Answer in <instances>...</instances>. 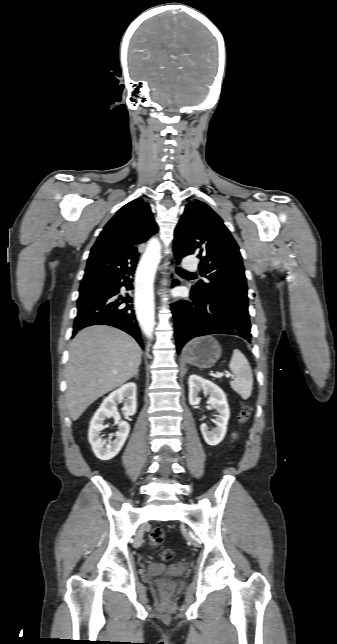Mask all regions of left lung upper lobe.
Listing matches in <instances>:
<instances>
[{
    "label": "left lung upper lobe",
    "mask_w": 337,
    "mask_h": 644,
    "mask_svg": "<svg viewBox=\"0 0 337 644\" xmlns=\"http://www.w3.org/2000/svg\"><path fill=\"white\" fill-rule=\"evenodd\" d=\"M174 255L180 261L194 254L200 274L209 280L193 285L202 300H217L249 319L247 284L239 247L222 219L205 203L187 204L175 229Z\"/></svg>",
    "instance_id": "1"
}]
</instances>
